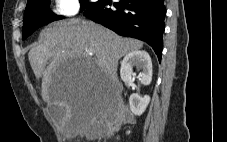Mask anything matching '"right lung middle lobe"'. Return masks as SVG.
Masks as SVG:
<instances>
[{"instance_id": "1", "label": "right lung middle lobe", "mask_w": 227, "mask_h": 142, "mask_svg": "<svg viewBox=\"0 0 227 142\" xmlns=\"http://www.w3.org/2000/svg\"><path fill=\"white\" fill-rule=\"evenodd\" d=\"M81 3V11L86 7L95 5L97 2L88 3L87 0H79ZM50 0H31L27 2L24 12V23L22 29V39L24 40L31 35L39 27L52 21L62 19V16H57L49 9Z\"/></svg>"}]
</instances>
